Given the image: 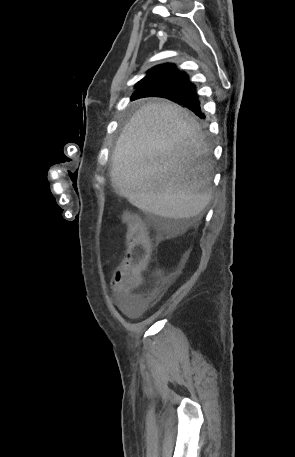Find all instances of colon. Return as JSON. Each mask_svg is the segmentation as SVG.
Here are the masks:
<instances>
[{
  "label": "colon",
  "instance_id": "1",
  "mask_svg": "<svg viewBox=\"0 0 295 457\" xmlns=\"http://www.w3.org/2000/svg\"><path fill=\"white\" fill-rule=\"evenodd\" d=\"M128 225V247L126 255L117 269V276L123 279L125 292L133 291L140 282L141 272L145 269L151 252V244L141 219L135 215H125Z\"/></svg>",
  "mask_w": 295,
  "mask_h": 457
}]
</instances>
